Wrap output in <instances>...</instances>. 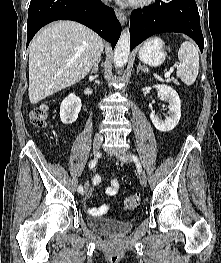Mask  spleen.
Listing matches in <instances>:
<instances>
[{
	"label": "spleen",
	"instance_id": "3e777b00",
	"mask_svg": "<svg viewBox=\"0 0 221 263\" xmlns=\"http://www.w3.org/2000/svg\"><path fill=\"white\" fill-rule=\"evenodd\" d=\"M178 59L180 62V69L176 73L177 77H179L183 83L190 86L195 82L198 76V49L192 42L185 41L179 48Z\"/></svg>",
	"mask_w": 221,
	"mask_h": 263
}]
</instances>
